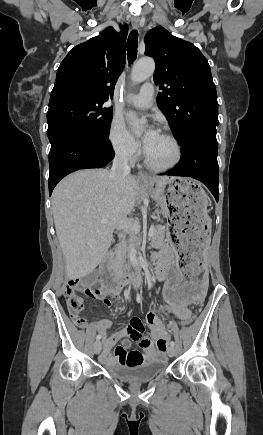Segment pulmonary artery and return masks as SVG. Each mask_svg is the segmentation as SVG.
<instances>
[{"label":"pulmonary artery","mask_w":263,"mask_h":435,"mask_svg":"<svg viewBox=\"0 0 263 435\" xmlns=\"http://www.w3.org/2000/svg\"><path fill=\"white\" fill-rule=\"evenodd\" d=\"M154 95V87L151 83H145L140 91L131 94L128 98L129 102L137 108L146 109L152 105Z\"/></svg>","instance_id":"e3ab8cb5"}]
</instances>
